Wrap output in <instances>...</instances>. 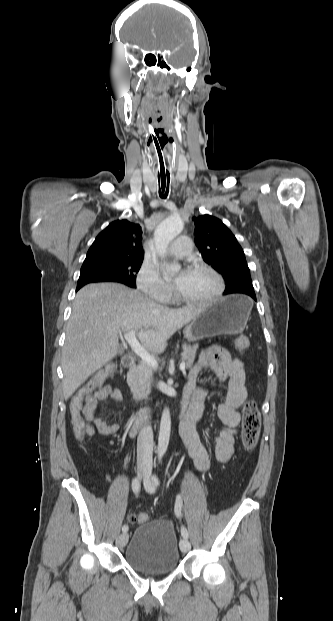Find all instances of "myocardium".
<instances>
[{
  "mask_svg": "<svg viewBox=\"0 0 333 621\" xmlns=\"http://www.w3.org/2000/svg\"><path fill=\"white\" fill-rule=\"evenodd\" d=\"M189 270L206 271L210 273L211 275H213L217 281V285H218L217 290L211 297H208L205 299H191V298H187L183 296L176 288L174 291V296L178 302L187 304V305H208V304H212L213 302L217 301L223 295L225 291V282H224L222 275L214 267L206 263L196 262V263H193L189 267Z\"/></svg>",
  "mask_w": 333,
  "mask_h": 621,
  "instance_id": "1",
  "label": "myocardium"
}]
</instances>
